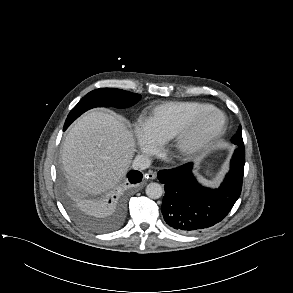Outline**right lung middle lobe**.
<instances>
[{"mask_svg":"<svg viewBox=\"0 0 293 293\" xmlns=\"http://www.w3.org/2000/svg\"><path fill=\"white\" fill-rule=\"evenodd\" d=\"M141 96L132 92L114 88L96 89L86 94L69 113L64 130L82 113L94 107L126 108L136 104ZM67 206L75 219L85 228L94 231H106L112 225L102 223L92 216L88 209L77 206L71 199H66ZM108 217H112L109 214Z\"/></svg>","mask_w":293,"mask_h":293,"instance_id":"dd1d6c3e","label":"right lung middle lobe"}]
</instances>
